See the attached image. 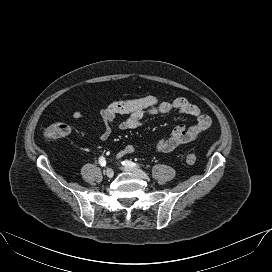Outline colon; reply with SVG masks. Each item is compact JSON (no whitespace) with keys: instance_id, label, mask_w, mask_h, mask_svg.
<instances>
[{"instance_id":"5ec220e1","label":"colon","mask_w":272,"mask_h":272,"mask_svg":"<svg viewBox=\"0 0 272 272\" xmlns=\"http://www.w3.org/2000/svg\"><path fill=\"white\" fill-rule=\"evenodd\" d=\"M71 132V127L64 122H52L46 125L43 129V137L46 140H58L67 137ZM186 163L194 164L197 161V156L189 153L185 157Z\"/></svg>"}]
</instances>
